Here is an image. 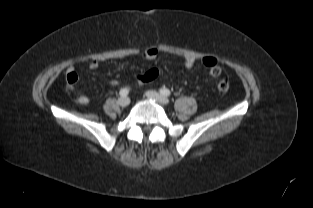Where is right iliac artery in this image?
<instances>
[{
  "label": "right iliac artery",
  "mask_w": 313,
  "mask_h": 208,
  "mask_svg": "<svg viewBox=\"0 0 313 208\" xmlns=\"http://www.w3.org/2000/svg\"><path fill=\"white\" fill-rule=\"evenodd\" d=\"M129 93V90L127 88H123L120 90L119 94L121 97H126Z\"/></svg>",
  "instance_id": "obj_1"
}]
</instances>
